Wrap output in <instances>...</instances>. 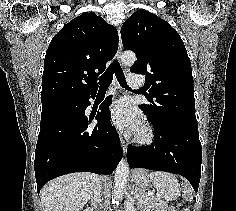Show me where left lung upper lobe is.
<instances>
[{
  "label": "left lung upper lobe",
  "mask_w": 236,
  "mask_h": 211,
  "mask_svg": "<svg viewBox=\"0 0 236 211\" xmlns=\"http://www.w3.org/2000/svg\"><path fill=\"white\" fill-rule=\"evenodd\" d=\"M121 36L124 49L137 56L131 71L145 75L149 103L139 107L149 121L197 125L191 63L179 34L165 20L138 10Z\"/></svg>",
  "instance_id": "obj_1"
}]
</instances>
